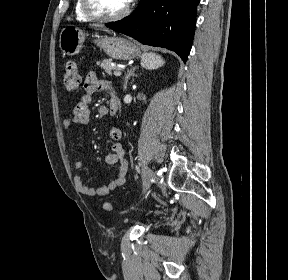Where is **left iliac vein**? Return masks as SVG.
Masks as SVG:
<instances>
[{"label": "left iliac vein", "instance_id": "4c4485c4", "mask_svg": "<svg viewBox=\"0 0 288 280\" xmlns=\"http://www.w3.org/2000/svg\"><path fill=\"white\" fill-rule=\"evenodd\" d=\"M143 175H144V177L150 176V177H152V180L158 181V178L156 176H153L152 173L147 168H145L143 170ZM144 182H145V187H143V192L145 193L150 188L151 181L149 179L145 178Z\"/></svg>", "mask_w": 288, "mask_h": 280}]
</instances>
